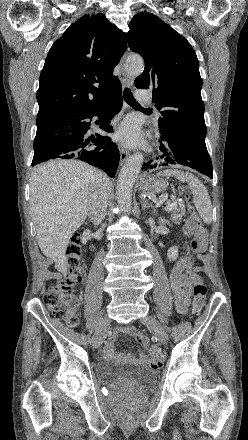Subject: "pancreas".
<instances>
[{"label":"pancreas","instance_id":"cf45deb5","mask_svg":"<svg viewBox=\"0 0 248 440\" xmlns=\"http://www.w3.org/2000/svg\"><path fill=\"white\" fill-rule=\"evenodd\" d=\"M169 211L172 212L171 220L174 223L179 224L182 220L183 215H184V210L177 208V206H173L172 209Z\"/></svg>","mask_w":248,"mask_h":440}]
</instances>
